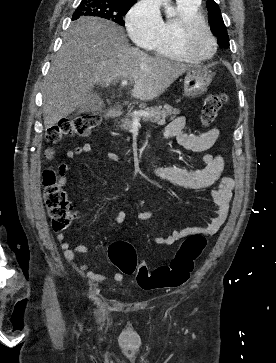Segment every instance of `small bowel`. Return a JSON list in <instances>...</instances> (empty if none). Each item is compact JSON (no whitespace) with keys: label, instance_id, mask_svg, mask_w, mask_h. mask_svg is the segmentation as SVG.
Returning <instances> with one entry per match:
<instances>
[{"label":"small bowel","instance_id":"c3829d8e","mask_svg":"<svg viewBox=\"0 0 276 363\" xmlns=\"http://www.w3.org/2000/svg\"><path fill=\"white\" fill-rule=\"evenodd\" d=\"M186 125V117H175L163 128L161 132V139L167 140L169 138H175L178 144L187 150L194 152H205L211 149L219 138L220 131L217 127H213L200 134H187L184 131ZM91 149L92 144L85 143L72 150H68L66 156L68 159H74L79 155L90 152ZM108 156L110 159L118 161V157L115 154L110 153ZM202 160L205 166L204 168L198 170H188L175 166H158L154 163V161L149 163V171L151 174L161 180L177 186L190 189H203L217 183L216 188H214L211 192L215 204V213L210 222L204 227L181 228L175 230L172 234L167 236H156L153 238L156 244L172 245L178 240L192 234L210 236L216 233L224 223L232 200L235 181L231 177H221L225 164L224 158L221 154H206L202 157ZM68 170L69 165L63 164L61 166L62 173H65ZM67 181V177L62 176L58 183L60 186H63L67 183ZM145 204V199H141L139 201V206L142 211L138 215V220L144 223H149L153 217V213L152 211L144 209ZM125 218V212L119 211L114 216V222L122 223L124 222ZM56 238L60 242L65 259L71 264L74 270L84 275L92 284H96L107 279L105 274L96 273L86 264L76 260V254L88 252V245L79 244L75 247H71L70 244L66 241L65 235L62 233H59ZM123 279L124 274L122 272L117 271L113 274L114 281L121 282Z\"/></svg>","mask_w":276,"mask_h":363}]
</instances>
